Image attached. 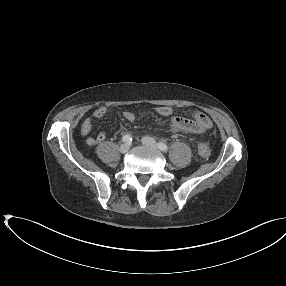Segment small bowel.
<instances>
[{"mask_svg":"<svg viewBox=\"0 0 286 286\" xmlns=\"http://www.w3.org/2000/svg\"><path fill=\"white\" fill-rule=\"evenodd\" d=\"M159 115L169 119V131L171 133H183L188 135H198L204 133L212 128V122L210 118L203 112L194 111L187 116L175 115L171 107L159 106L156 108ZM107 113L105 106H98L92 113V117L100 119ZM123 117L128 122H134L136 116L131 111L123 112ZM92 129V118L87 117L84 119L81 125L82 135L87 137V145L94 146L103 142L106 139L105 132H100L96 137L90 135Z\"/></svg>","mask_w":286,"mask_h":286,"instance_id":"c3829d8e","label":"small bowel"}]
</instances>
